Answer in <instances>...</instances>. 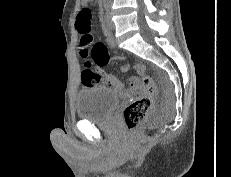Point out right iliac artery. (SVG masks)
Here are the masks:
<instances>
[{
	"mask_svg": "<svg viewBox=\"0 0 231 177\" xmlns=\"http://www.w3.org/2000/svg\"><path fill=\"white\" fill-rule=\"evenodd\" d=\"M105 9V8H104ZM103 8H101V12H103V10H104Z\"/></svg>",
	"mask_w": 231,
	"mask_h": 177,
	"instance_id": "1",
	"label": "right iliac artery"
}]
</instances>
